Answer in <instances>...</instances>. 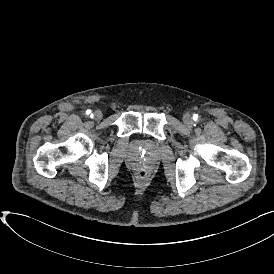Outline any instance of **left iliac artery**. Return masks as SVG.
Segmentation results:
<instances>
[{"label": "left iliac artery", "mask_w": 274, "mask_h": 274, "mask_svg": "<svg viewBox=\"0 0 274 274\" xmlns=\"http://www.w3.org/2000/svg\"><path fill=\"white\" fill-rule=\"evenodd\" d=\"M193 119H194L195 121H197V120H198V115H197V114H194V115H193Z\"/></svg>", "instance_id": "obj_1"}]
</instances>
